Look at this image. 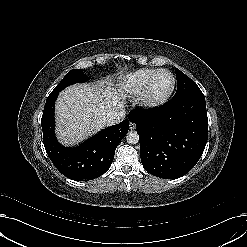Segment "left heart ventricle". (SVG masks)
<instances>
[{
	"label": "left heart ventricle",
	"mask_w": 247,
	"mask_h": 247,
	"mask_svg": "<svg viewBox=\"0 0 247 247\" xmlns=\"http://www.w3.org/2000/svg\"><path fill=\"white\" fill-rule=\"evenodd\" d=\"M170 85H171L170 76L166 73H162L157 77L154 83V90L156 93H163L170 87Z\"/></svg>",
	"instance_id": "b2bd125f"
}]
</instances>
